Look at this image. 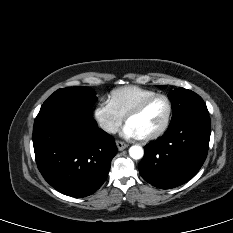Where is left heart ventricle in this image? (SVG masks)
I'll return each instance as SVG.
<instances>
[{
	"instance_id": "b2bd125f",
	"label": "left heart ventricle",
	"mask_w": 233,
	"mask_h": 233,
	"mask_svg": "<svg viewBox=\"0 0 233 233\" xmlns=\"http://www.w3.org/2000/svg\"><path fill=\"white\" fill-rule=\"evenodd\" d=\"M167 115V104L163 99L153 101L141 114L131 118V125L139 136H146L157 131Z\"/></svg>"
}]
</instances>
